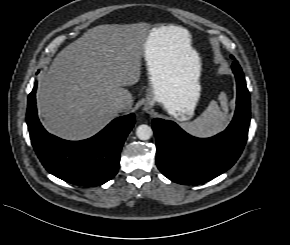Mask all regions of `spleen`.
<instances>
[{"label":"spleen","mask_w":290,"mask_h":245,"mask_svg":"<svg viewBox=\"0 0 290 245\" xmlns=\"http://www.w3.org/2000/svg\"><path fill=\"white\" fill-rule=\"evenodd\" d=\"M218 99L222 110L217 102L212 100L198 118L183 124L184 129L197 137H209L222 131L228 120V99L224 92L220 93Z\"/></svg>","instance_id":"1"}]
</instances>
